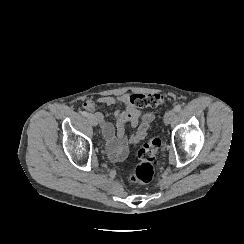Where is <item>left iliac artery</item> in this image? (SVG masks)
Segmentation results:
<instances>
[{"label":"left iliac artery","mask_w":244,"mask_h":244,"mask_svg":"<svg viewBox=\"0 0 244 244\" xmlns=\"http://www.w3.org/2000/svg\"><path fill=\"white\" fill-rule=\"evenodd\" d=\"M173 110L175 112H179L181 110V106L180 105H176Z\"/></svg>","instance_id":"left-iliac-artery-1"}]
</instances>
